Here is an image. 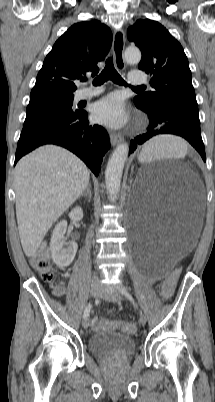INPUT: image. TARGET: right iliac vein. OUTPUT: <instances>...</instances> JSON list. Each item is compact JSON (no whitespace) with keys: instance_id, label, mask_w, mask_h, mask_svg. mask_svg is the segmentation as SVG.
I'll list each match as a JSON object with an SVG mask.
<instances>
[{"instance_id":"1","label":"right iliac vein","mask_w":215,"mask_h":402,"mask_svg":"<svg viewBox=\"0 0 215 402\" xmlns=\"http://www.w3.org/2000/svg\"><path fill=\"white\" fill-rule=\"evenodd\" d=\"M90 293L92 297H98L100 295V287L96 284H93L91 286ZM82 326L83 328H87L89 326V321L87 318L82 321Z\"/></svg>"}]
</instances>
